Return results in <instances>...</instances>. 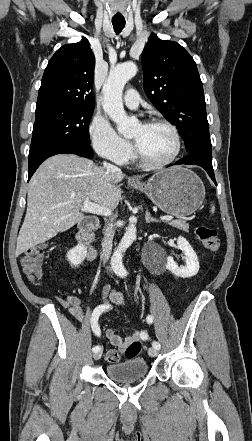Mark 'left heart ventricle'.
Segmentation results:
<instances>
[{
    "mask_svg": "<svg viewBox=\"0 0 252 441\" xmlns=\"http://www.w3.org/2000/svg\"><path fill=\"white\" fill-rule=\"evenodd\" d=\"M131 139L144 157L151 162L167 160L175 148L174 137L164 126L138 125L132 131Z\"/></svg>",
    "mask_w": 252,
    "mask_h": 441,
    "instance_id": "obj_1",
    "label": "left heart ventricle"
}]
</instances>
